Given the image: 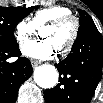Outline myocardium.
Segmentation results:
<instances>
[{
  "label": "myocardium",
  "instance_id": "myocardium-1",
  "mask_svg": "<svg viewBox=\"0 0 103 103\" xmlns=\"http://www.w3.org/2000/svg\"><path fill=\"white\" fill-rule=\"evenodd\" d=\"M68 25L71 26V35L68 41L58 49L60 53H67L74 46L79 34L78 20L73 15H67V16L60 17L56 20H53L45 26V27H53V28H62Z\"/></svg>",
  "mask_w": 103,
  "mask_h": 103
}]
</instances>
